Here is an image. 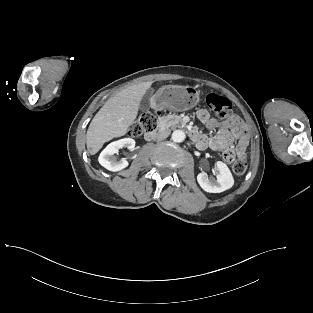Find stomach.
<instances>
[{
	"mask_svg": "<svg viewBox=\"0 0 313 313\" xmlns=\"http://www.w3.org/2000/svg\"><path fill=\"white\" fill-rule=\"evenodd\" d=\"M200 101L199 91L192 86H163L152 98L155 108L172 111H186L195 107Z\"/></svg>",
	"mask_w": 313,
	"mask_h": 313,
	"instance_id": "1",
	"label": "stomach"
}]
</instances>
